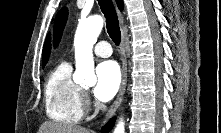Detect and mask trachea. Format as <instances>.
Returning <instances> with one entry per match:
<instances>
[{"instance_id":"1","label":"trachea","mask_w":221,"mask_h":133,"mask_svg":"<svg viewBox=\"0 0 221 133\" xmlns=\"http://www.w3.org/2000/svg\"><path fill=\"white\" fill-rule=\"evenodd\" d=\"M98 3L100 5L101 11L106 18L107 32L112 41L116 45H119L121 40V32L112 0H98Z\"/></svg>"}]
</instances>
